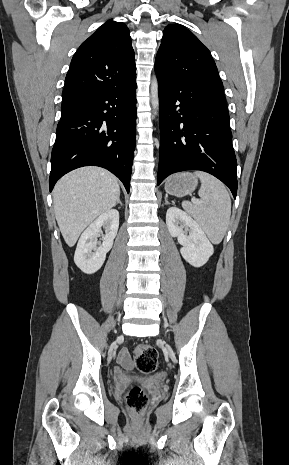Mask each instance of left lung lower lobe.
<instances>
[{"instance_id":"0a47b994","label":"left lung lower lobe","mask_w":289,"mask_h":465,"mask_svg":"<svg viewBox=\"0 0 289 465\" xmlns=\"http://www.w3.org/2000/svg\"><path fill=\"white\" fill-rule=\"evenodd\" d=\"M160 156L157 185L172 173L208 172L237 194V161L224 93L158 76Z\"/></svg>"}]
</instances>
